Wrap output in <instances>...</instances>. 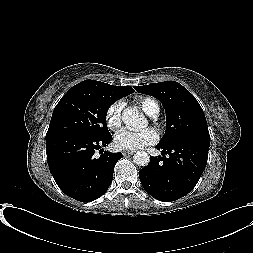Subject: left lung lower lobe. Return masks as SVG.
<instances>
[{
	"mask_svg": "<svg viewBox=\"0 0 253 253\" xmlns=\"http://www.w3.org/2000/svg\"><path fill=\"white\" fill-rule=\"evenodd\" d=\"M210 140L182 137L168 144H158L162 150L151 157L139 171L141 184L152 197L170 202L187 195L200 179L208 159Z\"/></svg>",
	"mask_w": 253,
	"mask_h": 253,
	"instance_id": "left-lung-lower-lobe-1",
	"label": "left lung lower lobe"
}]
</instances>
